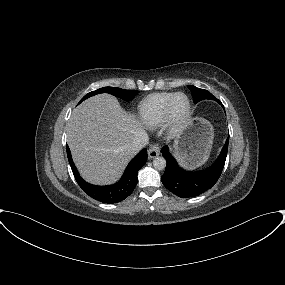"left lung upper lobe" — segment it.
<instances>
[{
    "instance_id": "1",
    "label": "left lung upper lobe",
    "mask_w": 285,
    "mask_h": 285,
    "mask_svg": "<svg viewBox=\"0 0 285 285\" xmlns=\"http://www.w3.org/2000/svg\"><path fill=\"white\" fill-rule=\"evenodd\" d=\"M188 88L191 90L192 92V97L194 100V103H198L201 100L204 99H211V100H215L217 102H220L217 98H215L209 91L204 90V89H200L197 88L193 85H188Z\"/></svg>"
}]
</instances>
